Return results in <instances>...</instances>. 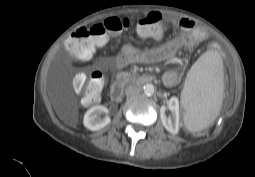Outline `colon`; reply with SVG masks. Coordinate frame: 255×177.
<instances>
[{
	"instance_id": "5ec220e1",
	"label": "colon",
	"mask_w": 255,
	"mask_h": 177,
	"mask_svg": "<svg viewBox=\"0 0 255 177\" xmlns=\"http://www.w3.org/2000/svg\"><path fill=\"white\" fill-rule=\"evenodd\" d=\"M163 18L155 11H150L137 18H108L101 23L92 24L77 30L66 41L67 53L78 60L89 59L96 49L107 42L108 35H118L135 28L143 37H156L161 34ZM74 88L86 104H96L105 84V74L95 70L87 76L77 74Z\"/></svg>"
}]
</instances>
